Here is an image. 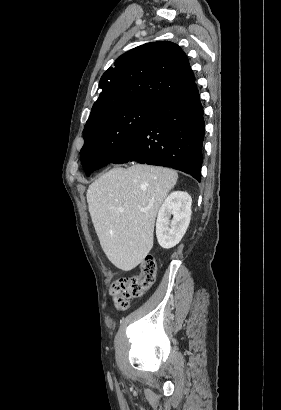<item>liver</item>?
Segmentation results:
<instances>
[{
    "label": "liver",
    "mask_w": 281,
    "mask_h": 410,
    "mask_svg": "<svg viewBox=\"0 0 281 410\" xmlns=\"http://www.w3.org/2000/svg\"><path fill=\"white\" fill-rule=\"evenodd\" d=\"M177 179L172 169L135 164L113 168L89 185L93 226L104 253L117 268L130 271L150 252L157 212Z\"/></svg>",
    "instance_id": "obj_1"
}]
</instances>
